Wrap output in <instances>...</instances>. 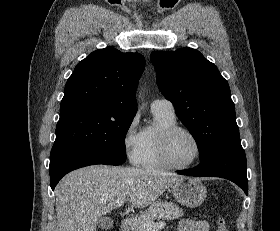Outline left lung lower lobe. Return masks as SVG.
I'll return each instance as SVG.
<instances>
[{"instance_id": "0a47b994", "label": "left lung lower lobe", "mask_w": 280, "mask_h": 231, "mask_svg": "<svg viewBox=\"0 0 280 231\" xmlns=\"http://www.w3.org/2000/svg\"><path fill=\"white\" fill-rule=\"evenodd\" d=\"M246 156L241 143L229 145L214 153L211 157L193 168L177 173L195 177H221L236 183L248 194L246 174Z\"/></svg>"}]
</instances>
